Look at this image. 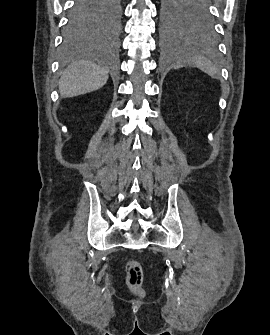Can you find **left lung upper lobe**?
<instances>
[{
    "instance_id": "obj_1",
    "label": "left lung upper lobe",
    "mask_w": 270,
    "mask_h": 335,
    "mask_svg": "<svg viewBox=\"0 0 270 335\" xmlns=\"http://www.w3.org/2000/svg\"><path fill=\"white\" fill-rule=\"evenodd\" d=\"M209 0H162L161 27L165 33L198 30L211 32Z\"/></svg>"
}]
</instances>
